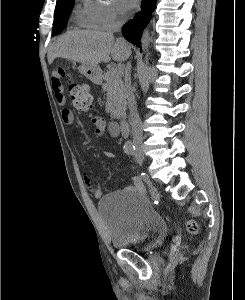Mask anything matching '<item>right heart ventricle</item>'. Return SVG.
I'll use <instances>...</instances> for the list:
<instances>
[{"mask_svg": "<svg viewBox=\"0 0 245 300\" xmlns=\"http://www.w3.org/2000/svg\"><path fill=\"white\" fill-rule=\"evenodd\" d=\"M76 24L82 27H94L89 15L87 14L85 8L77 9L73 17Z\"/></svg>", "mask_w": 245, "mask_h": 300, "instance_id": "right-heart-ventricle-1", "label": "right heart ventricle"}]
</instances>
